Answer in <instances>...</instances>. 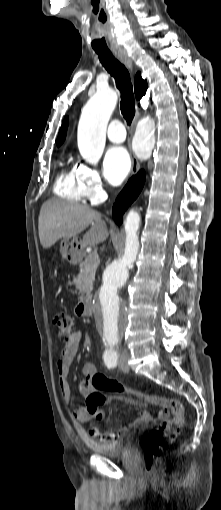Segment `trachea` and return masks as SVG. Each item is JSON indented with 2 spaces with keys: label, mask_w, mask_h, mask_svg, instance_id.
I'll return each instance as SVG.
<instances>
[{
  "label": "trachea",
  "mask_w": 221,
  "mask_h": 510,
  "mask_svg": "<svg viewBox=\"0 0 221 510\" xmlns=\"http://www.w3.org/2000/svg\"><path fill=\"white\" fill-rule=\"evenodd\" d=\"M96 53L103 67L115 79L116 86L121 94V113L127 124L130 125L135 116V100L129 72L111 52L96 51Z\"/></svg>",
  "instance_id": "1"
}]
</instances>
